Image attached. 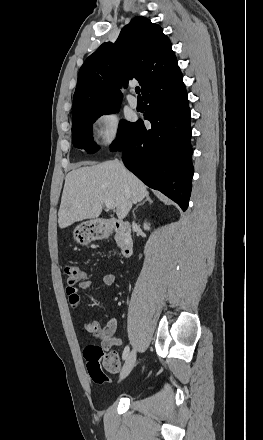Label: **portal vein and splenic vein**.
Here are the masks:
<instances>
[{
	"label": "portal vein and splenic vein",
	"mask_w": 263,
	"mask_h": 440,
	"mask_svg": "<svg viewBox=\"0 0 263 440\" xmlns=\"http://www.w3.org/2000/svg\"><path fill=\"white\" fill-rule=\"evenodd\" d=\"M104 204L107 209H115V203L111 200H105Z\"/></svg>",
	"instance_id": "portal-vein-and-splenic-vein-1"
}]
</instances>
